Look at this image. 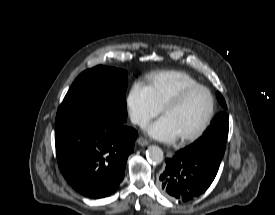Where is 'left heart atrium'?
Returning <instances> with one entry per match:
<instances>
[{
    "label": "left heart atrium",
    "mask_w": 275,
    "mask_h": 215,
    "mask_svg": "<svg viewBox=\"0 0 275 215\" xmlns=\"http://www.w3.org/2000/svg\"><path fill=\"white\" fill-rule=\"evenodd\" d=\"M146 131L150 136L160 141L171 142L177 138L173 126L166 117L148 125Z\"/></svg>",
    "instance_id": "1"
}]
</instances>
